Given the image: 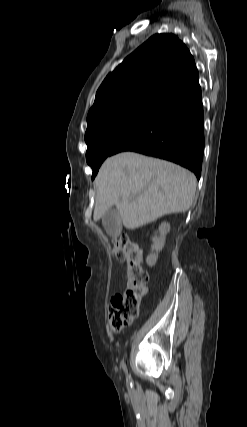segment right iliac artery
Returning a JSON list of instances; mask_svg holds the SVG:
<instances>
[{
  "label": "right iliac artery",
  "instance_id": "82829eb1",
  "mask_svg": "<svg viewBox=\"0 0 247 427\" xmlns=\"http://www.w3.org/2000/svg\"><path fill=\"white\" fill-rule=\"evenodd\" d=\"M122 367H123L124 371L127 373V367H126L125 363L122 364Z\"/></svg>",
  "mask_w": 247,
  "mask_h": 427
}]
</instances>
